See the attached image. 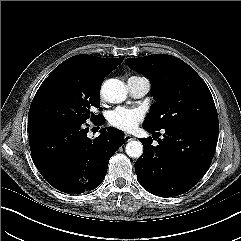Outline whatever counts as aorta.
Wrapping results in <instances>:
<instances>
[{"instance_id":"aorta-1","label":"aorta","mask_w":241,"mask_h":241,"mask_svg":"<svg viewBox=\"0 0 241 241\" xmlns=\"http://www.w3.org/2000/svg\"><path fill=\"white\" fill-rule=\"evenodd\" d=\"M101 94L107 102L121 103L127 97V90L122 81L112 78L103 83ZM125 151L129 157L139 158L143 153V145L139 141H130L126 144Z\"/></svg>"}]
</instances>
